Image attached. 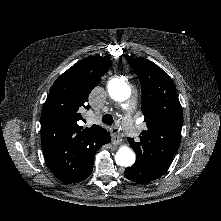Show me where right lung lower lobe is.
<instances>
[{
    "label": "right lung lower lobe",
    "instance_id": "obj_1",
    "mask_svg": "<svg viewBox=\"0 0 221 221\" xmlns=\"http://www.w3.org/2000/svg\"><path fill=\"white\" fill-rule=\"evenodd\" d=\"M94 155L95 154H93L89 158L86 166L84 167V170L82 171L81 175L79 176V178L74 183H78V182H81V181L85 180L91 174L92 169H93Z\"/></svg>",
    "mask_w": 221,
    "mask_h": 221
}]
</instances>
